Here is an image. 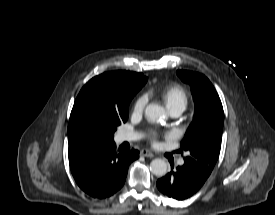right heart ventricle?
Returning <instances> with one entry per match:
<instances>
[{"label":"right heart ventricle","instance_id":"e07e8e85","mask_svg":"<svg viewBox=\"0 0 275 215\" xmlns=\"http://www.w3.org/2000/svg\"><path fill=\"white\" fill-rule=\"evenodd\" d=\"M158 95L169 110L174 108L185 109L188 103L187 93L180 85L172 84L161 87L158 90Z\"/></svg>","mask_w":275,"mask_h":215}]
</instances>
